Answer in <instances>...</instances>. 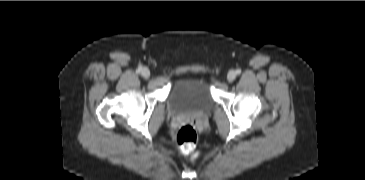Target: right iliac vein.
Segmentation results:
<instances>
[{"label": "right iliac vein", "instance_id": "right-iliac-vein-1", "mask_svg": "<svg viewBox=\"0 0 365 180\" xmlns=\"http://www.w3.org/2000/svg\"><path fill=\"white\" fill-rule=\"evenodd\" d=\"M141 74L144 78L150 77V70L147 67L142 68Z\"/></svg>", "mask_w": 365, "mask_h": 180}]
</instances>
